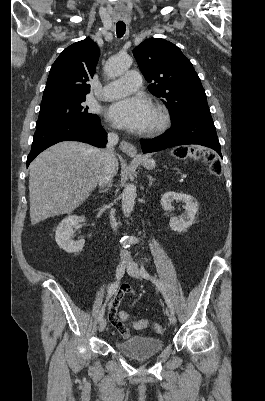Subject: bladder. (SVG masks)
<instances>
[{
	"label": "bladder",
	"instance_id": "1",
	"mask_svg": "<svg viewBox=\"0 0 265 401\" xmlns=\"http://www.w3.org/2000/svg\"><path fill=\"white\" fill-rule=\"evenodd\" d=\"M114 345L125 355L146 358L154 356L164 349V340L158 337L136 336L121 342L114 341Z\"/></svg>",
	"mask_w": 265,
	"mask_h": 401
}]
</instances>
